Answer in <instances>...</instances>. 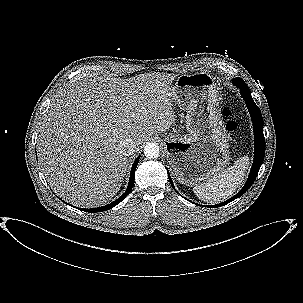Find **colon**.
Here are the masks:
<instances>
[{
	"label": "colon",
	"instance_id": "5ec220e1",
	"mask_svg": "<svg viewBox=\"0 0 303 303\" xmlns=\"http://www.w3.org/2000/svg\"><path fill=\"white\" fill-rule=\"evenodd\" d=\"M223 114L228 116L230 114V110L228 108L223 109ZM237 129V123L234 120H229L226 124V130L228 133L233 134Z\"/></svg>",
	"mask_w": 303,
	"mask_h": 303
}]
</instances>
